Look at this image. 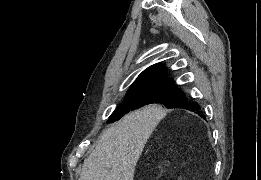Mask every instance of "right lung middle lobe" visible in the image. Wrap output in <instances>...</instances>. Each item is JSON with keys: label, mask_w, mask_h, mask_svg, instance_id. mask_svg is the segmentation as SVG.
<instances>
[{"label": "right lung middle lobe", "mask_w": 261, "mask_h": 180, "mask_svg": "<svg viewBox=\"0 0 261 180\" xmlns=\"http://www.w3.org/2000/svg\"><path fill=\"white\" fill-rule=\"evenodd\" d=\"M184 100H186L184 93L174 86V82L131 87L126 94L125 100L110 116L108 123L117 121L124 114L144 105L159 103L167 108H175Z\"/></svg>", "instance_id": "dd1d6c3e"}]
</instances>
